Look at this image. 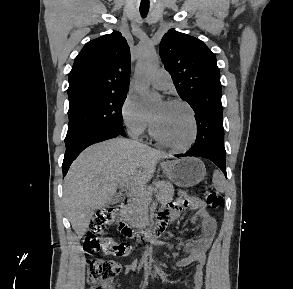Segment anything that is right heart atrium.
<instances>
[{
  "label": "right heart atrium",
  "mask_w": 293,
  "mask_h": 289,
  "mask_svg": "<svg viewBox=\"0 0 293 289\" xmlns=\"http://www.w3.org/2000/svg\"><path fill=\"white\" fill-rule=\"evenodd\" d=\"M121 117L124 126L133 137L143 135L151 125L150 115L145 110L143 104L137 97L131 94H128L123 102Z\"/></svg>",
  "instance_id": "right-heart-atrium-1"
}]
</instances>
